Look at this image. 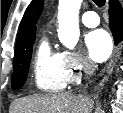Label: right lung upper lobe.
I'll return each mask as SVG.
<instances>
[{"label": "right lung upper lobe", "instance_id": "right-lung-upper-lobe-1", "mask_svg": "<svg viewBox=\"0 0 123 113\" xmlns=\"http://www.w3.org/2000/svg\"><path fill=\"white\" fill-rule=\"evenodd\" d=\"M44 0H32L29 4L23 19L20 23L19 34L17 36L16 47L22 43H25L36 34V22L38 21L42 10Z\"/></svg>", "mask_w": 123, "mask_h": 113}]
</instances>
